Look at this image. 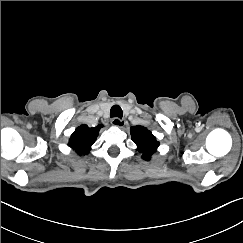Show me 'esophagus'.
Masks as SVG:
<instances>
[{"mask_svg":"<svg viewBox=\"0 0 243 243\" xmlns=\"http://www.w3.org/2000/svg\"><path fill=\"white\" fill-rule=\"evenodd\" d=\"M111 123L113 126L123 127L125 125V120L115 117L112 119Z\"/></svg>","mask_w":243,"mask_h":243,"instance_id":"obj_1","label":"esophagus"}]
</instances>
